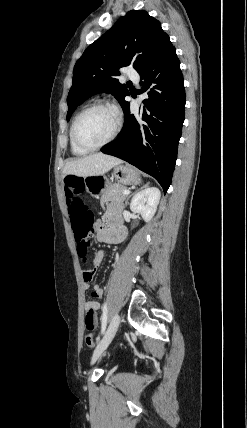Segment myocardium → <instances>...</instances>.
Returning a JSON list of instances; mask_svg holds the SVG:
<instances>
[{
	"instance_id": "obj_1",
	"label": "myocardium",
	"mask_w": 247,
	"mask_h": 428,
	"mask_svg": "<svg viewBox=\"0 0 247 428\" xmlns=\"http://www.w3.org/2000/svg\"><path fill=\"white\" fill-rule=\"evenodd\" d=\"M98 108L106 109V110L110 111L114 115L115 125H114V129H113L111 135L105 141H103L99 144H96V145H89V144L82 142L79 139V137L77 135V125H78L79 120L81 119V117L84 114H86L87 112H89L93 109H98ZM121 127H122V117H121L119 111L113 105H111L110 103H107V102H95V103L88 105L87 107H85L83 110H81L77 114V116L75 117V119L72 123V126H71V135H72V139H73L74 143L78 147L85 149V150H88V151H91V150L100 149V148L110 144L111 142H113L115 140V138L118 136V134L121 130Z\"/></svg>"
}]
</instances>
